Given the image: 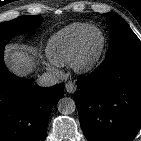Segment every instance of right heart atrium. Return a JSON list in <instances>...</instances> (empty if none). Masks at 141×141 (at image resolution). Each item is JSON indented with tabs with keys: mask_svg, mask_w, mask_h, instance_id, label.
I'll return each instance as SVG.
<instances>
[{
	"mask_svg": "<svg viewBox=\"0 0 141 141\" xmlns=\"http://www.w3.org/2000/svg\"><path fill=\"white\" fill-rule=\"evenodd\" d=\"M47 67H48L50 70H55L54 65L51 64V63L47 64Z\"/></svg>",
	"mask_w": 141,
	"mask_h": 141,
	"instance_id": "obj_1",
	"label": "right heart atrium"
}]
</instances>
